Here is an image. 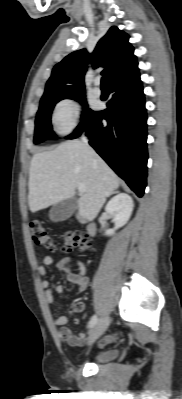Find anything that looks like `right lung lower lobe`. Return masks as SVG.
Wrapping results in <instances>:
<instances>
[{"label": "right lung lower lobe", "mask_w": 182, "mask_h": 399, "mask_svg": "<svg viewBox=\"0 0 182 399\" xmlns=\"http://www.w3.org/2000/svg\"><path fill=\"white\" fill-rule=\"evenodd\" d=\"M107 109L93 112L84 127L66 137L74 139L83 129L90 145L108 165L142 197L147 177V115L139 72L110 85ZM107 121V125L102 123Z\"/></svg>", "instance_id": "right-lung-lower-lobe-1"}]
</instances>
